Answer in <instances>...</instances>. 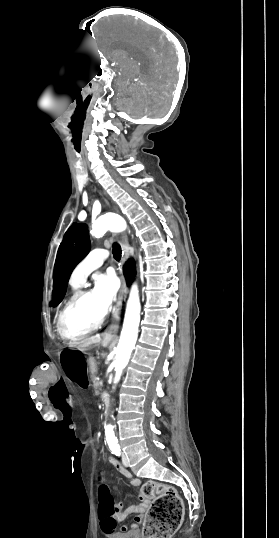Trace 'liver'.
Here are the masks:
<instances>
[{"label":"liver","instance_id":"liver-1","mask_svg":"<svg viewBox=\"0 0 279 538\" xmlns=\"http://www.w3.org/2000/svg\"><path fill=\"white\" fill-rule=\"evenodd\" d=\"M98 342H101L100 336H92V338H88L87 342L83 344L82 348H89L91 344H98Z\"/></svg>","mask_w":279,"mask_h":538}]
</instances>
